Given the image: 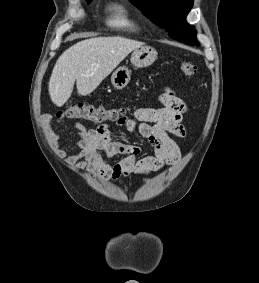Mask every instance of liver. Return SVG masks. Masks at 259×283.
<instances>
[{
	"instance_id": "1",
	"label": "liver",
	"mask_w": 259,
	"mask_h": 283,
	"mask_svg": "<svg viewBox=\"0 0 259 283\" xmlns=\"http://www.w3.org/2000/svg\"><path fill=\"white\" fill-rule=\"evenodd\" d=\"M142 46L143 42L119 36L85 39L71 46L53 68L48 86L52 102L63 106L75 81L78 93L89 95L131 51Z\"/></svg>"
}]
</instances>
